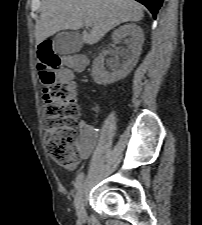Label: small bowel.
Masks as SVG:
<instances>
[{
	"instance_id": "1",
	"label": "small bowel",
	"mask_w": 202,
	"mask_h": 225,
	"mask_svg": "<svg viewBox=\"0 0 202 225\" xmlns=\"http://www.w3.org/2000/svg\"><path fill=\"white\" fill-rule=\"evenodd\" d=\"M82 66L86 64L85 60L81 62ZM75 87V83L72 82ZM80 127L82 134L78 142L79 157L82 160L89 159L93 151L100 145V138L96 131H94L92 125L87 121H81Z\"/></svg>"
}]
</instances>
